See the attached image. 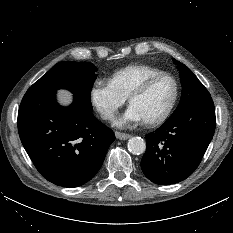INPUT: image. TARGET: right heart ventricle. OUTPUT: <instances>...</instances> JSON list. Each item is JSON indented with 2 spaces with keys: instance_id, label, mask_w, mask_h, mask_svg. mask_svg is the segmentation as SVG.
Here are the masks:
<instances>
[{
  "instance_id": "e07e8e85",
  "label": "right heart ventricle",
  "mask_w": 233,
  "mask_h": 233,
  "mask_svg": "<svg viewBox=\"0 0 233 233\" xmlns=\"http://www.w3.org/2000/svg\"><path fill=\"white\" fill-rule=\"evenodd\" d=\"M161 72L163 71L146 64L128 65L115 71L110 81L127 98L146 78Z\"/></svg>"
}]
</instances>
